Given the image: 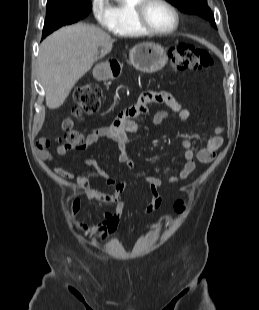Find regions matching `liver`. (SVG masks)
Segmentation results:
<instances>
[{
    "label": "liver",
    "mask_w": 259,
    "mask_h": 310,
    "mask_svg": "<svg viewBox=\"0 0 259 310\" xmlns=\"http://www.w3.org/2000/svg\"><path fill=\"white\" fill-rule=\"evenodd\" d=\"M114 39L101 29L78 23L48 36L40 45L38 69L46 105L59 108L77 81L93 66L99 47L112 50Z\"/></svg>",
    "instance_id": "liver-1"
}]
</instances>
